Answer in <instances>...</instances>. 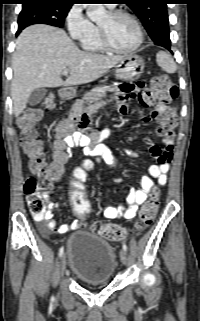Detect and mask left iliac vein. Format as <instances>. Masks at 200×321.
Masks as SVG:
<instances>
[{
    "label": "left iliac vein",
    "mask_w": 200,
    "mask_h": 321,
    "mask_svg": "<svg viewBox=\"0 0 200 321\" xmlns=\"http://www.w3.org/2000/svg\"><path fill=\"white\" fill-rule=\"evenodd\" d=\"M120 259L124 265L127 264L128 257H127V252L124 249L120 251Z\"/></svg>",
    "instance_id": "left-iliac-vein-1"
}]
</instances>
